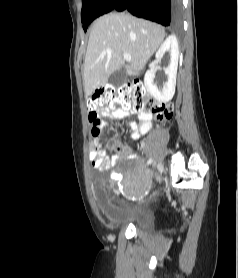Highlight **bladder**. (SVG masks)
Wrapping results in <instances>:
<instances>
[{
  "mask_svg": "<svg viewBox=\"0 0 238 278\" xmlns=\"http://www.w3.org/2000/svg\"><path fill=\"white\" fill-rule=\"evenodd\" d=\"M97 198L104 202L101 207L104 212L105 221L110 227L123 228L131 226L140 232H150L152 230V218L144 208L120 202L106 201L102 194H98Z\"/></svg>",
  "mask_w": 238,
  "mask_h": 278,
  "instance_id": "obj_1",
  "label": "bladder"
}]
</instances>
